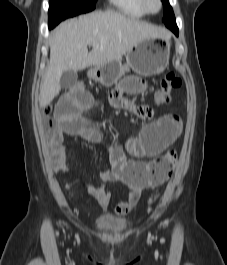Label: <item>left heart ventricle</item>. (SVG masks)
Masks as SVG:
<instances>
[{
  "label": "left heart ventricle",
  "instance_id": "1",
  "mask_svg": "<svg viewBox=\"0 0 227 265\" xmlns=\"http://www.w3.org/2000/svg\"><path fill=\"white\" fill-rule=\"evenodd\" d=\"M149 7L152 10H155L157 8V3L155 2V0H149Z\"/></svg>",
  "mask_w": 227,
  "mask_h": 265
}]
</instances>
